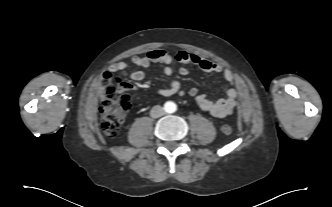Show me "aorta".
Returning <instances> with one entry per match:
<instances>
[{"label":"aorta","mask_w":332,"mask_h":207,"mask_svg":"<svg viewBox=\"0 0 332 207\" xmlns=\"http://www.w3.org/2000/svg\"><path fill=\"white\" fill-rule=\"evenodd\" d=\"M165 110L168 113H173L176 110V104L174 102H167L165 104Z\"/></svg>","instance_id":"762f6f07"}]
</instances>
